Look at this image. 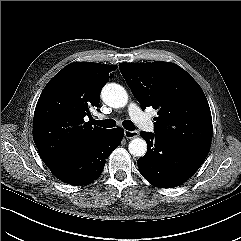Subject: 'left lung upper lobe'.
<instances>
[{
  "label": "left lung upper lobe",
  "mask_w": 241,
  "mask_h": 241,
  "mask_svg": "<svg viewBox=\"0 0 241 241\" xmlns=\"http://www.w3.org/2000/svg\"><path fill=\"white\" fill-rule=\"evenodd\" d=\"M119 68L142 108L158 109L155 134L210 149V108L203 90L190 74L169 62L120 63Z\"/></svg>",
  "instance_id": "obj_1"
}]
</instances>
